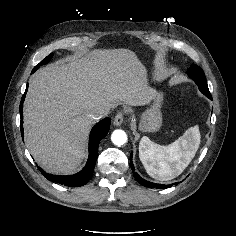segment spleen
I'll list each match as a JSON object with an SVG mask.
<instances>
[{
	"label": "spleen",
	"mask_w": 236,
	"mask_h": 236,
	"mask_svg": "<svg viewBox=\"0 0 236 236\" xmlns=\"http://www.w3.org/2000/svg\"><path fill=\"white\" fill-rule=\"evenodd\" d=\"M200 144L198 126L190 127L175 142L161 146L143 136L139 143V158L146 172L160 181L179 176L194 158Z\"/></svg>",
	"instance_id": "1"
}]
</instances>
